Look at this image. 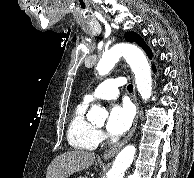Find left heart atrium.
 I'll return each instance as SVG.
<instances>
[{
    "label": "left heart atrium",
    "instance_id": "39dd6f15",
    "mask_svg": "<svg viewBox=\"0 0 194 178\" xmlns=\"http://www.w3.org/2000/svg\"><path fill=\"white\" fill-rule=\"evenodd\" d=\"M133 121V110L128 104H115L109 111L106 124L107 131L112 135L126 132Z\"/></svg>",
    "mask_w": 194,
    "mask_h": 178
}]
</instances>
